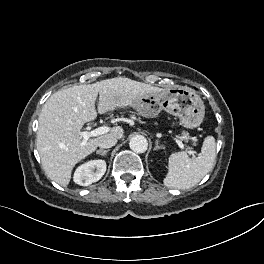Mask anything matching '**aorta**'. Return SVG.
Masks as SVG:
<instances>
[{
    "label": "aorta",
    "instance_id": "obj_1",
    "mask_svg": "<svg viewBox=\"0 0 264 264\" xmlns=\"http://www.w3.org/2000/svg\"><path fill=\"white\" fill-rule=\"evenodd\" d=\"M129 146L136 153H144L148 148V142L144 136L136 135L131 138Z\"/></svg>",
    "mask_w": 264,
    "mask_h": 264
}]
</instances>
